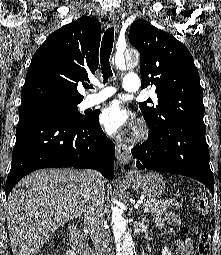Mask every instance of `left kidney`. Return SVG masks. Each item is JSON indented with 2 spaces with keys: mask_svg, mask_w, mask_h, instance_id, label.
<instances>
[{
  "mask_svg": "<svg viewBox=\"0 0 221 255\" xmlns=\"http://www.w3.org/2000/svg\"><path fill=\"white\" fill-rule=\"evenodd\" d=\"M161 253H162V255H172L171 250H169V248H167V246L162 248Z\"/></svg>",
  "mask_w": 221,
  "mask_h": 255,
  "instance_id": "obj_1",
  "label": "left kidney"
}]
</instances>
